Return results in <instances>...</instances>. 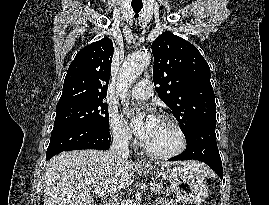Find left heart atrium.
Wrapping results in <instances>:
<instances>
[{"mask_svg": "<svg viewBox=\"0 0 269 205\" xmlns=\"http://www.w3.org/2000/svg\"><path fill=\"white\" fill-rule=\"evenodd\" d=\"M158 120V117L151 110H148L141 122L132 121L131 128L143 142H146L156 128Z\"/></svg>", "mask_w": 269, "mask_h": 205, "instance_id": "1", "label": "left heart atrium"}]
</instances>
